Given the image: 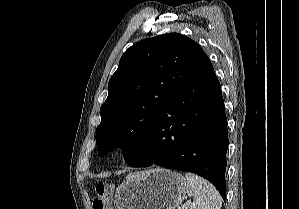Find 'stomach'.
<instances>
[{"instance_id": "0dacf381", "label": "stomach", "mask_w": 299, "mask_h": 209, "mask_svg": "<svg viewBox=\"0 0 299 209\" xmlns=\"http://www.w3.org/2000/svg\"><path fill=\"white\" fill-rule=\"evenodd\" d=\"M182 174L164 168L133 173L118 186V209H176L186 196Z\"/></svg>"}]
</instances>
